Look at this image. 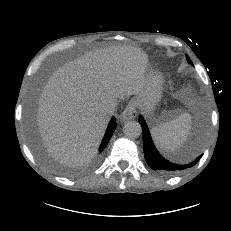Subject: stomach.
Segmentation results:
<instances>
[{"instance_id":"0dacf381","label":"stomach","mask_w":231,"mask_h":231,"mask_svg":"<svg viewBox=\"0 0 231 231\" xmlns=\"http://www.w3.org/2000/svg\"><path fill=\"white\" fill-rule=\"evenodd\" d=\"M164 78L158 71L148 70L146 74V83L141 93H139L133 102L139 107L146 118L155 122L154 111L162 97Z\"/></svg>"}]
</instances>
